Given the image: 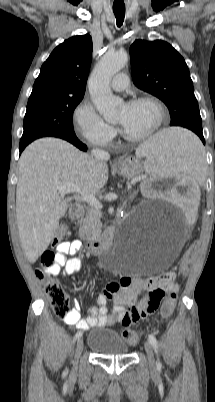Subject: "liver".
I'll use <instances>...</instances> for the list:
<instances>
[{
	"mask_svg": "<svg viewBox=\"0 0 215 402\" xmlns=\"http://www.w3.org/2000/svg\"><path fill=\"white\" fill-rule=\"evenodd\" d=\"M108 180V166L57 138H41L23 151L16 188V219L26 258L35 263L53 239L72 199L63 200L58 183H73L91 195Z\"/></svg>",
	"mask_w": 215,
	"mask_h": 402,
	"instance_id": "liver-1",
	"label": "liver"
}]
</instances>
